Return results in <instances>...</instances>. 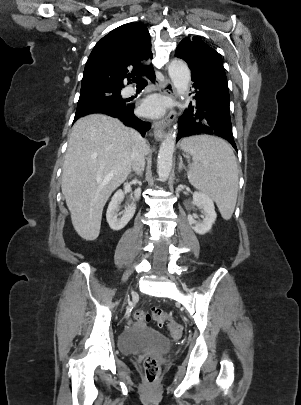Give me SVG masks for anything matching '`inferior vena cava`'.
<instances>
[{"label": "inferior vena cava", "instance_id": "obj_1", "mask_svg": "<svg viewBox=\"0 0 301 405\" xmlns=\"http://www.w3.org/2000/svg\"><path fill=\"white\" fill-rule=\"evenodd\" d=\"M134 144L131 152L132 169L138 174H142L145 167V145L146 140L142 136L133 131Z\"/></svg>", "mask_w": 301, "mask_h": 405}]
</instances>
